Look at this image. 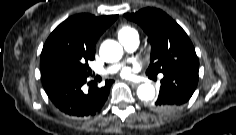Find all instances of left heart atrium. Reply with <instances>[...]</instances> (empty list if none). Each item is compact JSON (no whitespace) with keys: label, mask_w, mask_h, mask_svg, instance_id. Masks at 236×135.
<instances>
[{"label":"left heart atrium","mask_w":236,"mask_h":135,"mask_svg":"<svg viewBox=\"0 0 236 135\" xmlns=\"http://www.w3.org/2000/svg\"><path fill=\"white\" fill-rule=\"evenodd\" d=\"M128 73H129V70H128V69H124V70L122 71V75H128Z\"/></svg>","instance_id":"39dd6f15"}]
</instances>
